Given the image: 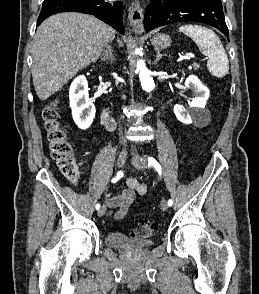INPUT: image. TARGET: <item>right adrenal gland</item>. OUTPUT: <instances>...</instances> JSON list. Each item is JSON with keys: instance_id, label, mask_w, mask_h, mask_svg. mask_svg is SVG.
Returning a JSON list of instances; mask_svg holds the SVG:
<instances>
[{"instance_id": "right-adrenal-gland-1", "label": "right adrenal gland", "mask_w": 259, "mask_h": 294, "mask_svg": "<svg viewBox=\"0 0 259 294\" xmlns=\"http://www.w3.org/2000/svg\"><path fill=\"white\" fill-rule=\"evenodd\" d=\"M100 58L101 61L110 60L111 63L114 61V55L110 45H108L106 47V50L103 53H101Z\"/></svg>"}]
</instances>
